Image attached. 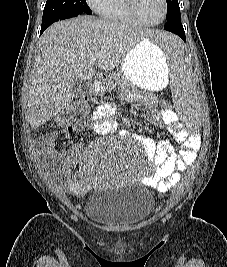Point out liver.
Returning <instances> with one entry per match:
<instances>
[{"label": "liver", "instance_id": "obj_1", "mask_svg": "<svg viewBox=\"0 0 227 267\" xmlns=\"http://www.w3.org/2000/svg\"><path fill=\"white\" fill-rule=\"evenodd\" d=\"M157 30L135 25L80 16L51 25L42 35L41 64L29 87L28 117L32 129L69 108L75 81L90 82L94 65L112 70L129 51Z\"/></svg>", "mask_w": 227, "mask_h": 267}]
</instances>
